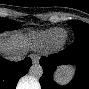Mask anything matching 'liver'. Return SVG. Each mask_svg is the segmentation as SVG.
Listing matches in <instances>:
<instances>
[{"label": "liver", "instance_id": "liver-1", "mask_svg": "<svg viewBox=\"0 0 89 89\" xmlns=\"http://www.w3.org/2000/svg\"><path fill=\"white\" fill-rule=\"evenodd\" d=\"M26 38L21 34H6L0 39V51L3 55H8L11 51H24Z\"/></svg>", "mask_w": 89, "mask_h": 89}]
</instances>
